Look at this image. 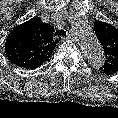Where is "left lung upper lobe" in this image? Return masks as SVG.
<instances>
[{
  "instance_id": "1",
  "label": "left lung upper lobe",
  "mask_w": 118,
  "mask_h": 118,
  "mask_svg": "<svg viewBox=\"0 0 118 118\" xmlns=\"http://www.w3.org/2000/svg\"><path fill=\"white\" fill-rule=\"evenodd\" d=\"M94 30L105 55V62L99 71L108 75L118 72V29L108 23L95 21Z\"/></svg>"
}]
</instances>
